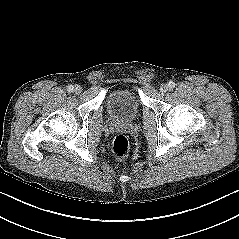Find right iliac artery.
Here are the masks:
<instances>
[{"label":"right iliac artery","instance_id":"82829eb1","mask_svg":"<svg viewBox=\"0 0 239 239\" xmlns=\"http://www.w3.org/2000/svg\"><path fill=\"white\" fill-rule=\"evenodd\" d=\"M73 90H74V87H73L72 85H69V86L67 87V91H68L69 93L73 92Z\"/></svg>","mask_w":239,"mask_h":239}]
</instances>
